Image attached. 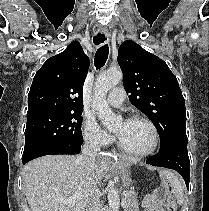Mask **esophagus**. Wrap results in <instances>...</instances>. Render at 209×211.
<instances>
[{"mask_svg": "<svg viewBox=\"0 0 209 211\" xmlns=\"http://www.w3.org/2000/svg\"><path fill=\"white\" fill-rule=\"evenodd\" d=\"M110 40V32L107 30H102L100 35H97L93 38L95 45H99L104 42L107 43ZM100 159H115V154H108V151H99Z\"/></svg>", "mask_w": 209, "mask_h": 211, "instance_id": "1", "label": "esophagus"}]
</instances>
